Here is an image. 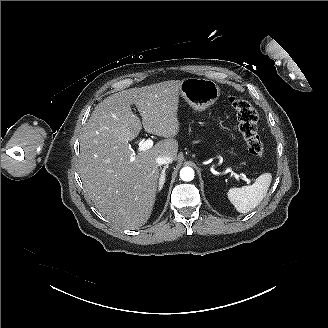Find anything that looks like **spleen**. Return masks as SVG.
I'll use <instances>...</instances> for the list:
<instances>
[{
    "label": "spleen",
    "instance_id": "obj_1",
    "mask_svg": "<svg viewBox=\"0 0 328 328\" xmlns=\"http://www.w3.org/2000/svg\"><path fill=\"white\" fill-rule=\"evenodd\" d=\"M271 180V173H262L253 185L230 188L227 192V198L237 212L247 213L262 202L268 192Z\"/></svg>",
    "mask_w": 328,
    "mask_h": 328
}]
</instances>
